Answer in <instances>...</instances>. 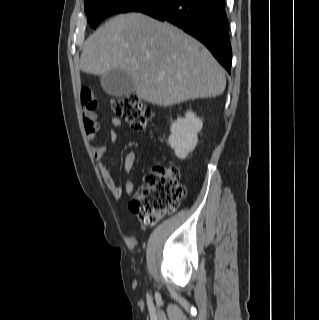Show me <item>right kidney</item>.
Returning a JSON list of instances; mask_svg holds the SVG:
<instances>
[{"mask_svg": "<svg viewBox=\"0 0 319 320\" xmlns=\"http://www.w3.org/2000/svg\"><path fill=\"white\" fill-rule=\"evenodd\" d=\"M202 126V120L192 111H187L184 118H177L171 125L168 141L178 158L185 159L194 150L198 142V132L201 131Z\"/></svg>", "mask_w": 319, "mask_h": 320, "instance_id": "obj_1", "label": "right kidney"}]
</instances>
